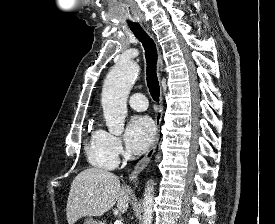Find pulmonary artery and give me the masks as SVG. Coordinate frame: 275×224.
Instances as JSON below:
<instances>
[{"mask_svg":"<svg viewBox=\"0 0 275 224\" xmlns=\"http://www.w3.org/2000/svg\"><path fill=\"white\" fill-rule=\"evenodd\" d=\"M129 104L133 109H135L137 111H144L148 107L147 98L143 94H140V93L133 94L129 98Z\"/></svg>","mask_w":275,"mask_h":224,"instance_id":"1","label":"pulmonary artery"}]
</instances>
